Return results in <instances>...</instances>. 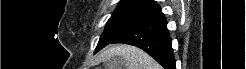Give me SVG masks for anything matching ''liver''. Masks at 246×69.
<instances>
[{
	"mask_svg": "<svg viewBox=\"0 0 246 69\" xmlns=\"http://www.w3.org/2000/svg\"><path fill=\"white\" fill-rule=\"evenodd\" d=\"M113 56L120 57V67L117 69H161V66L143 50L125 44H119L106 49L101 54V60L107 62Z\"/></svg>",
	"mask_w": 246,
	"mask_h": 69,
	"instance_id": "obj_1",
	"label": "liver"
}]
</instances>
